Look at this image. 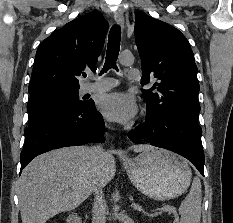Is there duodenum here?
<instances>
[{
	"label": "duodenum",
	"instance_id": "1",
	"mask_svg": "<svg viewBox=\"0 0 233 223\" xmlns=\"http://www.w3.org/2000/svg\"><path fill=\"white\" fill-rule=\"evenodd\" d=\"M67 223H82V221L77 214L71 213L67 218Z\"/></svg>",
	"mask_w": 233,
	"mask_h": 223
}]
</instances>
